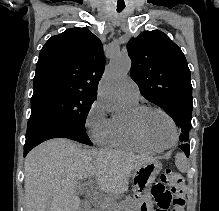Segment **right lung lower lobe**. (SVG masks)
<instances>
[{
    "label": "right lung lower lobe",
    "mask_w": 219,
    "mask_h": 211,
    "mask_svg": "<svg viewBox=\"0 0 219 211\" xmlns=\"http://www.w3.org/2000/svg\"><path fill=\"white\" fill-rule=\"evenodd\" d=\"M52 138H68L92 145L85 130L66 121L48 115L30 116L26 132L24 157L38 144Z\"/></svg>",
    "instance_id": "1"
}]
</instances>
